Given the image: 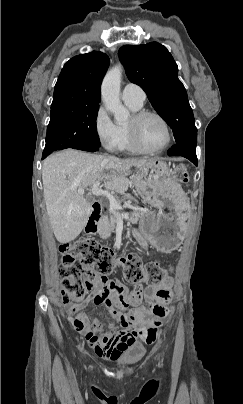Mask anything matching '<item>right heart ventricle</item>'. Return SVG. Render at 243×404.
<instances>
[{"mask_svg":"<svg viewBox=\"0 0 243 404\" xmlns=\"http://www.w3.org/2000/svg\"><path fill=\"white\" fill-rule=\"evenodd\" d=\"M124 100V99H123ZM125 104L127 107L133 112H137L142 109L143 103H139L135 100L131 99H125L124 100ZM118 130L120 133L121 137V149L120 151L124 154L127 155H141L144 152L139 150L134 146V144L131 142L130 137L128 135L127 129H126V124H118Z\"/></svg>","mask_w":243,"mask_h":404,"instance_id":"e07e8e85","label":"right heart ventricle"}]
</instances>
